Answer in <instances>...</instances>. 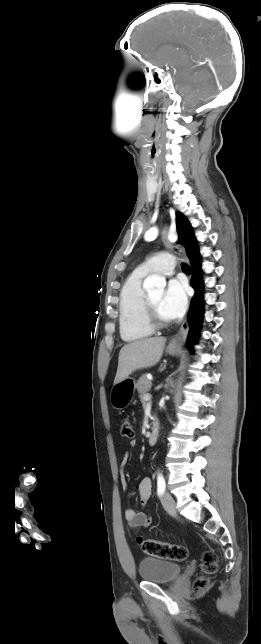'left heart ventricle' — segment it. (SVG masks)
Wrapping results in <instances>:
<instances>
[{"label": "left heart ventricle", "mask_w": 261, "mask_h": 644, "mask_svg": "<svg viewBox=\"0 0 261 644\" xmlns=\"http://www.w3.org/2000/svg\"><path fill=\"white\" fill-rule=\"evenodd\" d=\"M163 294H164L163 291L160 290V291L150 293L149 296H150V299H151L152 303L155 306V309H156L158 315L161 318L168 320L167 316L165 315V313L163 312V310L161 308V302H162Z\"/></svg>", "instance_id": "b2bd125f"}]
</instances>
